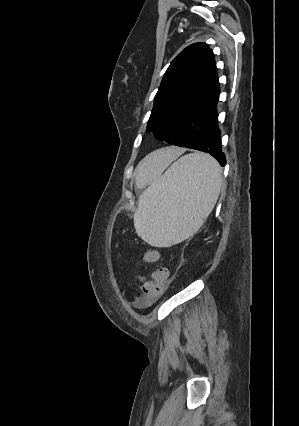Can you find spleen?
<instances>
[{"label": "spleen", "instance_id": "3e777b00", "mask_svg": "<svg viewBox=\"0 0 299 426\" xmlns=\"http://www.w3.org/2000/svg\"><path fill=\"white\" fill-rule=\"evenodd\" d=\"M222 170L204 153L182 156L150 181L134 213L137 235L154 247H170L192 236L213 210Z\"/></svg>", "mask_w": 299, "mask_h": 426}]
</instances>
